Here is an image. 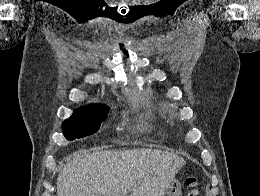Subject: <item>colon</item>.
I'll list each match as a JSON object with an SVG mask.
<instances>
[{"label": "colon", "instance_id": "1", "mask_svg": "<svg viewBox=\"0 0 260 196\" xmlns=\"http://www.w3.org/2000/svg\"><path fill=\"white\" fill-rule=\"evenodd\" d=\"M186 185L191 189L189 192V196H199L200 192L198 189V181L196 177H188L186 178Z\"/></svg>", "mask_w": 260, "mask_h": 196}]
</instances>
